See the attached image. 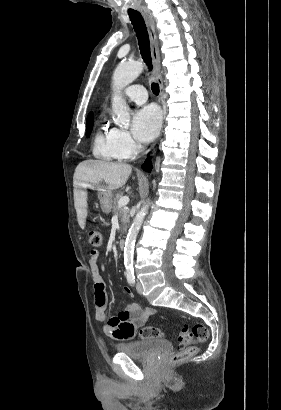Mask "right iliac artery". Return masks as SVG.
I'll list each match as a JSON object with an SVG mask.
<instances>
[{
  "instance_id": "right-iliac-artery-1",
  "label": "right iliac artery",
  "mask_w": 281,
  "mask_h": 410,
  "mask_svg": "<svg viewBox=\"0 0 281 410\" xmlns=\"http://www.w3.org/2000/svg\"><path fill=\"white\" fill-rule=\"evenodd\" d=\"M127 281L128 283L133 286L135 284V275L134 274H127Z\"/></svg>"
}]
</instances>
